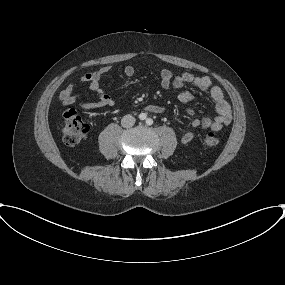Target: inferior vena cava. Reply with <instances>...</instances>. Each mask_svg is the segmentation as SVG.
<instances>
[{
    "instance_id": "1",
    "label": "inferior vena cava",
    "mask_w": 285,
    "mask_h": 285,
    "mask_svg": "<svg viewBox=\"0 0 285 285\" xmlns=\"http://www.w3.org/2000/svg\"><path fill=\"white\" fill-rule=\"evenodd\" d=\"M134 124H135V118L133 116H131V115H125L121 119V125L124 128L132 127Z\"/></svg>"
}]
</instances>
